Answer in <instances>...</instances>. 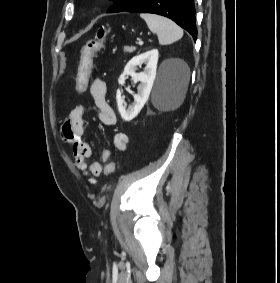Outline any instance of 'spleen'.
<instances>
[{
    "mask_svg": "<svg viewBox=\"0 0 280 283\" xmlns=\"http://www.w3.org/2000/svg\"><path fill=\"white\" fill-rule=\"evenodd\" d=\"M140 17L145 20L150 31L157 34L161 45L171 44L178 41L183 36V30L176 23L166 17L147 13H142ZM185 69V76L182 80L184 88L187 87L190 78L189 68L186 67Z\"/></svg>",
    "mask_w": 280,
    "mask_h": 283,
    "instance_id": "spleen-1",
    "label": "spleen"
}]
</instances>
